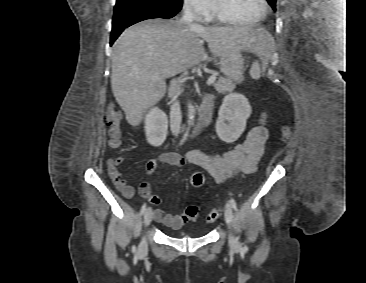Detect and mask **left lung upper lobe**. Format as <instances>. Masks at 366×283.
Masks as SVG:
<instances>
[{
	"label": "left lung upper lobe",
	"instance_id": "5c2ea615",
	"mask_svg": "<svg viewBox=\"0 0 366 283\" xmlns=\"http://www.w3.org/2000/svg\"><path fill=\"white\" fill-rule=\"evenodd\" d=\"M273 10H276V0H267Z\"/></svg>",
	"mask_w": 366,
	"mask_h": 283
}]
</instances>
